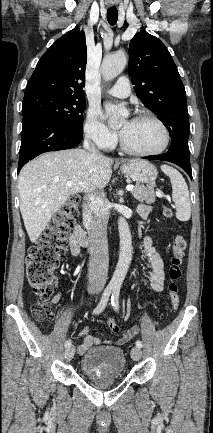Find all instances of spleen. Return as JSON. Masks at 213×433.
I'll use <instances>...</instances> for the list:
<instances>
[{
    "mask_svg": "<svg viewBox=\"0 0 213 433\" xmlns=\"http://www.w3.org/2000/svg\"><path fill=\"white\" fill-rule=\"evenodd\" d=\"M161 170L170 177L172 199L176 206V217L180 221H188L191 216V203L188 186L183 176L173 167L162 165Z\"/></svg>",
    "mask_w": 213,
    "mask_h": 433,
    "instance_id": "obj_1",
    "label": "spleen"
}]
</instances>
